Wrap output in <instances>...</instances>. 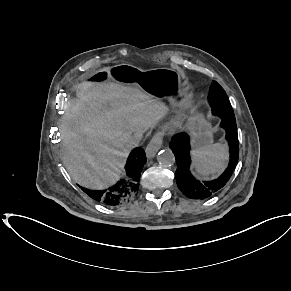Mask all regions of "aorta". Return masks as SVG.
<instances>
[{
  "label": "aorta",
  "instance_id": "obj_1",
  "mask_svg": "<svg viewBox=\"0 0 291 291\" xmlns=\"http://www.w3.org/2000/svg\"><path fill=\"white\" fill-rule=\"evenodd\" d=\"M157 161L162 166H172L175 163V156L171 149H163L157 155Z\"/></svg>",
  "mask_w": 291,
  "mask_h": 291
}]
</instances>
